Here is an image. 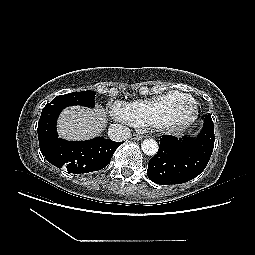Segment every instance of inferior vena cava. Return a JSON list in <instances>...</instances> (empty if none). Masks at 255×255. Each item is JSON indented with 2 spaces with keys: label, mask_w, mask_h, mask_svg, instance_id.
<instances>
[{
  "label": "inferior vena cava",
  "mask_w": 255,
  "mask_h": 255,
  "mask_svg": "<svg viewBox=\"0 0 255 255\" xmlns=\"http://www.w3.org/2000/svg\"><path fill=\"white\" fill-rule=\"evenodd\" d=\"M130 129L121 124H111L108 129V136L115 142H122L130 137Z\"/></svg>",
  "instance_id": "1"
}]
</instances>
